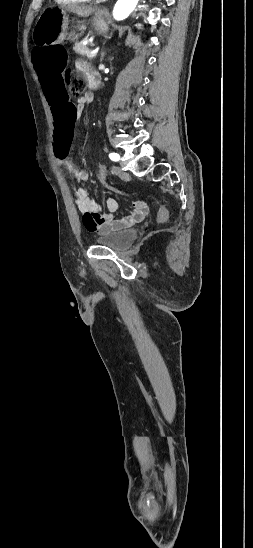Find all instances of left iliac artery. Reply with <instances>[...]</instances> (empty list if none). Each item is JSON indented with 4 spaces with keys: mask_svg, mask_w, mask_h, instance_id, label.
<instances>
[{
    "mask_svg": "<svg viewBox=\"0 0 253 548\" xmlns=\"http://www.w3.org/2000/svg\"><path fill=\"white\" fill-rule=\"evenodd\" d=\"M109 157L113 161H118L120 159V156L117 153H110Z\"/></svg>",
    "mask_w": 253,
    "mask_h": 548,
    "instance_id": "left-iliac-artery-1",
    "label": "left iliac artery"
}]
</instances>
